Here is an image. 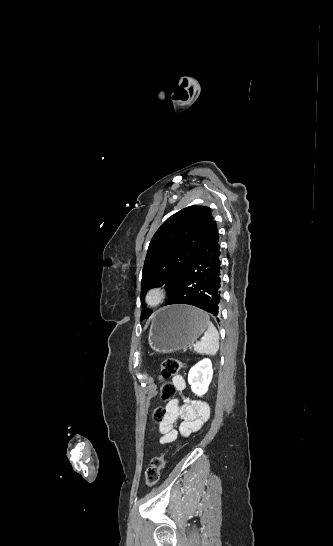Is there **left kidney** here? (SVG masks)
I'll list each match as a JSON object with an SVG mask.
<instances>
[{
	"label": "left kidney",
	"instance_id": "5707ae66",
	"mask_svg": "<svg viewBox=\"0 0 333 546\" xmlns=\"http://www.w3.org/2000/svg\"><path fill=\"white\" fill-rule=\"evenodd\" d=\"M213 369L209 359H203L195 364L189 371L188 383L191 385L192 391L201 396L204 395L212 380Z\"/></svg>",
	"mask_w": 333,
	"mask_h": 546
}]
</instances>
